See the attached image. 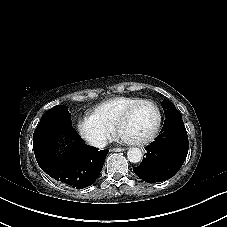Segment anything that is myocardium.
<instances>
[{"mask_svg":"<svg viewBox=\"0 0 227 227\" xmlns=\"http://www.w3.org/2000/svg\"><path fill=\"white\" fill-rule=\"evenodd\" d=\"M142 106H151L154 109L155 114H156V121H155L153 130L151 131L150 134H148L146 137L138 138L139 142H141V143L150 141L151 139H153L159 130L160 123H161V113H160V109H159L158 105L155 102L149 101V100H143V101L137 103L124 114V116L121 118V120L118 124V127H117L118 132H123L124 127H125L126 123L128 122V120L130 119V117L134 114V112L137 109H139Z\"/></svg>","mask_w":227,"mask_h":227,"instance_id":"1","label":"myocardium"}]
</instances>
